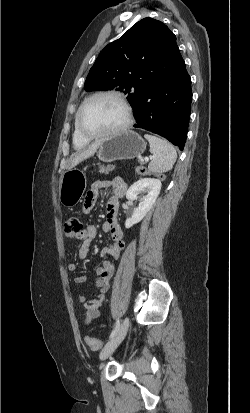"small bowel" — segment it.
Segmentation results:
<instances>
[{"label":"small bowel","instance_id":"1","mask_svg":"<svg viewBox=\"0 0 250 413\" xmlns=\"http://www.w3.org/2000/svg\"><path fill=\"white\" fill-rule=\"evenodd\" d=\"M105 188H111L112 194L107 202V215L102 228L104 232L111 235V242L101 251V263L96 270L97 295L92 299H88L83 294L77 296L78 304L83 305L86 308V323H89L99 316V308L104 301L105 293L110 287L115 261L120 258L125 247L123 232L120 229L116 218L119 199L123 197L126 191V184L121 178L116 177L110 180H98L94 182L85 198L83 211L85 213H90L95 201L100 196L101 191ZM96 234L97 229L92 224H88L85 229H80L78 231L79 239L82 241L78 250V257L80 260H85L87 258L91 242L96 237ZM68 269L70 271H76L77 265L70 262L68 264ZM86 280L87 277L83 274H78L74 277V282L77 284H83Z\"/></svg>","mask_w":250,"mask_h":413}]
</instances>
